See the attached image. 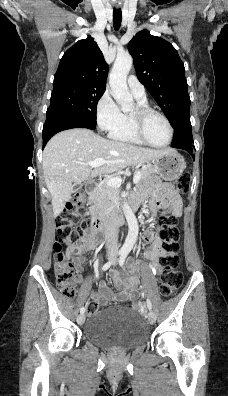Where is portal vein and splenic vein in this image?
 <instances>
[{
    "instance_id": "obj_1",
    "label": "portal vein and splenic vein",
    "mask_w": 228,
    "mask_h": 396,
    "mask_svg": "<svg viewBox=\"0 0 228 396\" xmlns=\"http://www.w3.org/2000/svg\"><path fill=\"white\" fill-rule=\"evenodd\" d=\"M107 163V161L103 158H97L91 162H88L87 164L91 167V168H95L98 166H101L103 164ZM141 178V173L135 172L134 177H133V183L136 184ZM106 183L113 188H118L120 187L121 183H122V179L120 177H112L109 178Z\"/></svg>"
}]
</instances>
